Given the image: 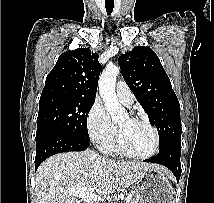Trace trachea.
Wrapping results in <instances>:
<instances>
[{
	"label": "trachea",
	"instance_id": "obj_1",
	"mask_svg": "<svg viewBox=\"0 0 214 203\" xmlns=\"http://www.w3.org/2000/svg\"><path fill=\"white\" fill-rule=\"evenodd\" d=\"M113 7H114L113 3L112 4H108V3L105 4L106 12L108 15H110L112 13Z\"/></svg>",
	"mask_w": 214,
	"mask_h": 203
}]
</instances>
